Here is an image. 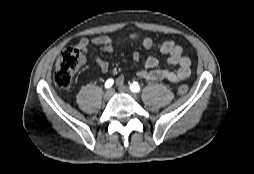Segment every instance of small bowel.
I'll return each mask as SVG.
<instances>
[{
	"label": "small bowel",
	"instance_id": "small-bowel-1",
	"mask_svg": "<svg viewBox=\"0 0 254 174\" xmlns=\"http://www.w3.org/2000/svg\"><path fill=\"white\" fill-rule=\"evenodd\" d=\"M128 38L132 41L140 42L146 49H150L154 45L152 38L142 37L138 33H132ZM89 45H94L107 53L115 50V41L107 36H97L92 39L81 38L78 42V47L81 49H86ZM158 49L168 57L170 65L177 66L178 68L176 70L160 69L158 68L159 60L150 56L144 61V67L137 72L139 78L145 81L165 80L170 84H177L190 77L191 60L183 54V48L180 45L168 40L160 43ZM90 57L102 72L106 73L109 70V63L106 60L94 54H90ZM132 58L135 61H139L141 55L139 52H134ZM118 83H123V78H119Z\"/></svg>",
	"mask_w": 254,
	"mask_h": 174
}]
</instances>
